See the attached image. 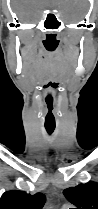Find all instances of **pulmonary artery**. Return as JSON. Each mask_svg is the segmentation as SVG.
I'll list each match as a JSON object with an SVG mask.
<instances>
[{"mask_svg": "<svg viewBox=\"0 0 98 209\" xmlns=\"http://www.w3.org/2000/svg\"><path fill=\"white\" fill-rule=\"evenodd\" d=\"M62 209H68V207L67 206H63Z\"/></svg>", "mask_w": 98, "mask_h": 209, "instance_id": "obj_1", "label": "pulmonary artery"}]
</instances>
